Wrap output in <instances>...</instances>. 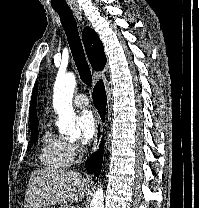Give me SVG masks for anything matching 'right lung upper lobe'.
I'll return each instance as SVG.
<instances>
[{"label":"right lung upper lobe","mask_w":199,"mask_h":208,"mask_svg":"<svg viewBox=\"0 0 199 208\" xmlns=\"http://www.w3.org/2000/svg\"><path fill=\"white\" fill-rule=\"evenodd\" d=\"M82 40L85 46L87 57L93 69L96 71L103 70L106 64V56L104 53L103 44L100 41L97 33L93 29L85 27L82 32ZM36 99L37 85L34 86L29 108L31 130H34L38 127V119L36 117Z\"/></svg>","instance_id":"right-lung-upper-lobe-1"}]
</instances>
